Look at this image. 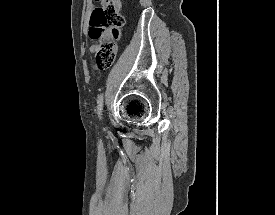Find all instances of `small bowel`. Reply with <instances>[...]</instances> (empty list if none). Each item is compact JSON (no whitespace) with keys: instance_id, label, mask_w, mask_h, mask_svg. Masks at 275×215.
Masks as SVG:
<instances>
[{"instance_id":"obj_1","label":"small bowel","mask_w":275,"mask_h":215,"mask_svg":"<svg viewBox=\"0 0 275 215\" xmlns=\"http://www.w3.org/2000/svg\"><path fill=\"white\" fill-rule=\"evenodd\" d=\"M95 49V45H93L92 47H91V51H93Z\"/></svg>"}]
</instances>
